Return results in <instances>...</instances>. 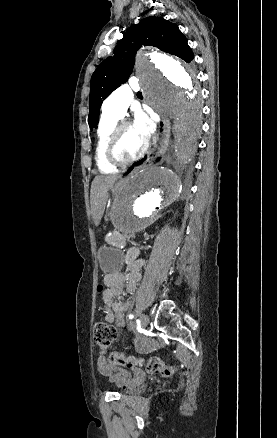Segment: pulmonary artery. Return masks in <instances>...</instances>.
<instances>
[{"instance_id": "e3ab8cb5", "label": "pulmonary artery", "mask_w": 277, "mask_h": 438, "mask_svg": "<svg viewBox=\"0 0 277 438\" xmlns=\"http://www.w3.org/2000/svg\"><path fill=\"white\" fill-rule=\"evenodd\" d=\"M126 81L127 87H115L114 95H107V103L102 107L103 117L121 119L125 116L133 99L131 90H139L141 86L136 76H129Z\"/></svg>"}]
</instances>
